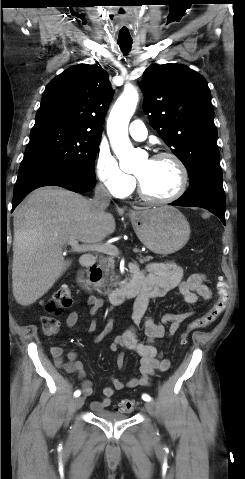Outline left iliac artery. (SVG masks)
Listing matches in <instances>:
<instances>
[{"label":"left iliac artery","instance_id":"44dca946","mask_svg":"<svg viewBox=\"0 0 245 479\" xmlns=\"http://www.w3.org/2000/svg\"><path fill=\"white\" fill-rule=\"evenodd\" d=\"M142 399H143L144 401H150V400H151V397H150L149 395H147V394H143V395H142Z\"/></svg>","mask_w":245,"mask_h":479}]
</instances>
